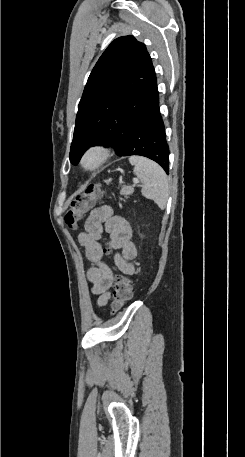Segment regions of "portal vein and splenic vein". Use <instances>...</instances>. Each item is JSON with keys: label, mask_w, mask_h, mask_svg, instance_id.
<instances>
[{"label": "portal vein and splenic vein", "mask_w": 245, "mask_h": 457, "mask_svg": "<svg viewBox=\"0 0 245 457\" xmlns=\"http://www.w3.org/2000/svg\"><path fill=\"white\" fill-rule=\"evenodd\" d=\"M133 182H135V184L136 182H139L138 178H133Z\"/></svg>", "instance_id": "portal-vein-and-splenic-vein-1"}]
</instances>
